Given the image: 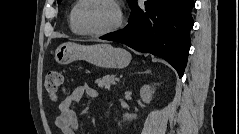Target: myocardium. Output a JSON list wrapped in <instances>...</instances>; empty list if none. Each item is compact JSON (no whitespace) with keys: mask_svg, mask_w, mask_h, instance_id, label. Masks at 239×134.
Here are the masks:
<instances>
[{"mask_svg":"<svg viewBox=\"0 0 239 134\" xmlns=\"http://www.w3.org/2000/svg\"><path fill=\"white\" fill-rule=\"evenodd\" d=\"M90 1H93V0H82L80 2V4L78 5L76 13H75V23H76L77 27L79 28V30L82 32V34L88 35V36H104V35H108V34H111L115 31H117L121 27V25L123 23V12H122L120 5L118 4L117 1L105 0V1L109 2L115 8V10L117 12V19H116L115 23L112 26H110L109 28L100 30V31H93V30L87 29L82 21V12H83L85 5Z\"/></svg>","mask_w":239,"mask_h":134,"instance_id":"1","label":"myocardium"}]
</instances>
